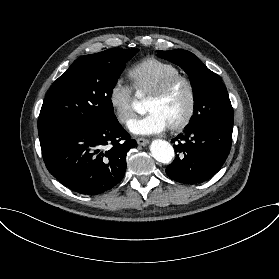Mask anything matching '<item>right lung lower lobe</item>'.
<instances>
[{"label":"right lung lower lobe","instance_id":"1","mask_svg":"<svg viewBox=\"0 0 279 279\" xmlns=\"http://www.w3.org/2000/svg\"><path fill=\"white\" fill-rule=\"evenodd\" d=\"M135 146L136 141L116 121L63 132L48 138L41 149L48 171L59 182L93 196L122 180L126 154Z\"/></svg>","mask_w":279,"mask_h":279}]
</instances>
